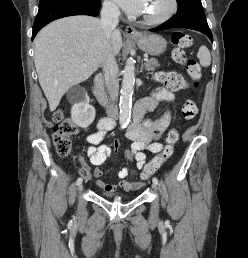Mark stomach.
<instances>
[{
  "label": "stomach",
  "mask_w": 248,
  "mask_h": 258,
  "mask_svg": "<svg viewBox=\"0 0 248 258\" xmlns=\"http://www.w3.org/2000/svg\"><path fill=\"white\" fill-rule=\"evenodd\" d=\"M133 40L142 51L153 56L163 54L167 47V41L157 34H140Z\"/></svg>",
  "instance_id": "obj_1"
}]
</instances>
